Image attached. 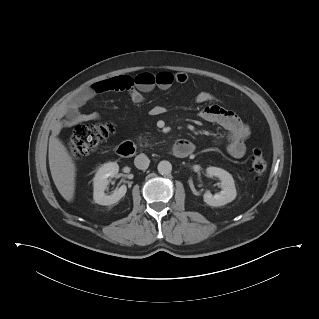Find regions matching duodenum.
Wrapping results in <instances>:
<instances>
[{
	"label": "duodenum",
	"mask_w": 319,
	"mask_h": 319,
	"mask_svg": "<svg viewBox=\"0 0 319 319\" xmlns=\"http://www.w3.org/2000/svg\"><path fill=\"white\" fill-rule=\"evenodd\" d=\"M136 147L132 142H123L117 148L118 155L128 157L134 154ZM194 150V145L191 141L186 139L178 140L172 148V153L175 157L185 158L189 156Z\"/></svg>",
	"instance_id": "1"
}]
</instances>
